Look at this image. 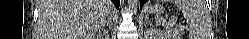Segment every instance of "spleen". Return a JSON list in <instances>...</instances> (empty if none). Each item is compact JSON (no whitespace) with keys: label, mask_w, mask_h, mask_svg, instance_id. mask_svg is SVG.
<instances>
[{"label":"spleen","mask_w":249,"mask_h":39,"mask_svg":"<svg viewBox=\"0 0 249 39\" xmlns=\"http://www.w3.org/2000/svg\"><path fill=\"white\" fill-rule=\"evenodd\" d=\"M174 4L182 9L189 27L190 39H206L210 33L211 20L205 2L203 0H175Z\"/></svg>","instance_id":"1"}]
</instances>
